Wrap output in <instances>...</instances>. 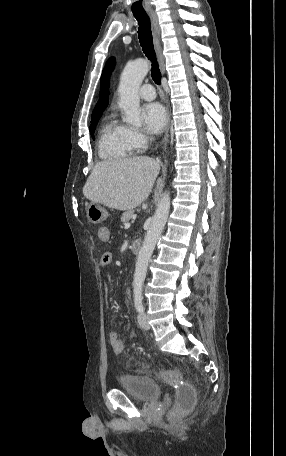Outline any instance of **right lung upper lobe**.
I'll return each instance as SVG.
<instances>
[{
    "label": "right lung upper lobe",
    "mask_w": 286,
    "mask_h": 456,
    "mask_svg": "<svg viewBox=\"0 0 286 456\" xmlns=\"http://www.w3.org/2000/svg\"><path fill=\"white\" fill-rule=\"evenodd\" d=\"M115 66L114 58H110L107 64V71H103L100 82V96L99 101L93 111L92 120L100 118L103 110L107 107L109 102V73Z\"/></svg>",
    "instance_id": "cb5924a9"
}]
</instances>
